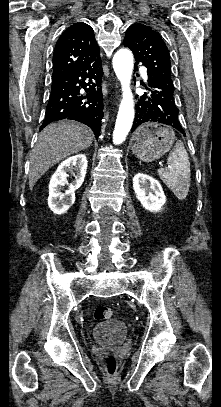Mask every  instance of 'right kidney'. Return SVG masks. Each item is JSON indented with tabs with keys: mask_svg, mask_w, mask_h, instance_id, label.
<instances>
[{
	"mask_svg": "<svg viewBox=\"0 0 221 407\" xmlns=\"http://www.w3.org/2000/svg\"><path fill=\"white\" fill-rule=\"evenodd\" d=\"M87 158L84 154H77L64 160L50 179L48 206L54 214H64L75 202V191L82 185L86 170ZM76 171L75 180L70 184L67 181L68 172ZM65 192H61L64 186Z\"/></svg>",
	"mask_w": 221,
	"mask_h": 407,
	"instance_id": "right-kidney-1",
	"label": "right kidney"
}]
</instances>
